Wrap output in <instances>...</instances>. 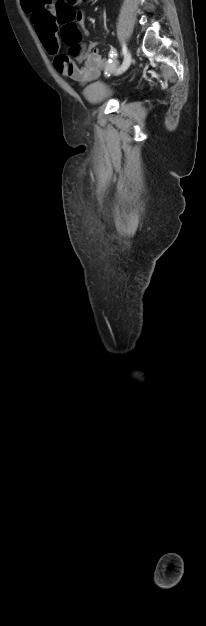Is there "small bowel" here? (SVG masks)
Returning a JSON list of instances; mask_svg holds the SVG:
<instances>
[{
    "label": "small bowel",
    "mask_w": 206,
    "mask_h": 626,
    "mask_svg": "<svg viewBox=\"0 0 206 626\" xmlns=\"http://www.w3.org/2000/svg\"><path fill=\"white\" fill-rule=\"evenodd\" d=\"M27 10L28 13H30L32 23L34 24L41 43L47 52L54 55V67L62 76L76 81L79 84H85L98 78L101 71H109L114 65L117 53L113 47L108 49L106 58L101 55L99 50L94 49L87 56L83 66H78L58 52L56 36L58 12L53 4H51L50 0H41L39 10L34 8H27ZM74 17L80 26L84 25L86 19L84 10H79ZM83 33L85 35L88 34L85 29H83Z\"/></svg>",
    "instance_id": "small-bowel-1"
}]
</instances>
